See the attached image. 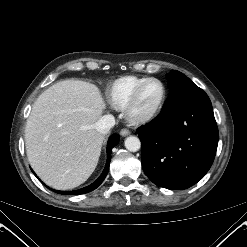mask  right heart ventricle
I'll return each mask as SVG.
<instances>
[{
	"mask_svg": "<svg viewBox=\"0 0 247 247\" xmlns=\"http://www.w3.org/2000/svg\"><path fill=\"white\" fill-rule=\"evenodd\" d=\"M148 77L128 75L116 79L107 91L108 101L118 109H124L134 89Z\"/></svg>",
	"mask_w": 247,
	"mask_h": 247,
	"instance_id": "right-heart-ventricle-1",
	"label": "right heart ventricle"
}]
</instances>
